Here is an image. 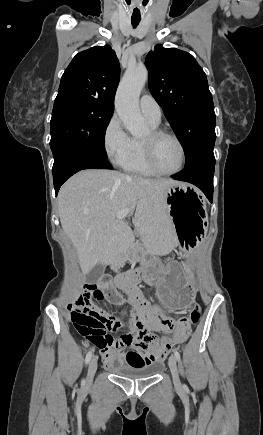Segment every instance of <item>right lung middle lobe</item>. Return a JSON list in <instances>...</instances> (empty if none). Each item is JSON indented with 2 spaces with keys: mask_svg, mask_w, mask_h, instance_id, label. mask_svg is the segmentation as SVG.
I'll return each mask as SVG.
<instances>
[{
  "mask_svg": "<svg viewBox=\"0 0 263 435\" xmlns=\"http://www.w3.org/2000/svg\"><path fill=\"white\" fill-rule=\"evenodd\" d=\"M113 111L90 103L54 106L50 121V147L54 162L72 151L107 159L104 141Z\"/></svg>",
  "mask_w": 263,
  "mask_h": 435,
  "instance_id": "1",
  "label": "right lung middle lobe"
}]
</instances>
